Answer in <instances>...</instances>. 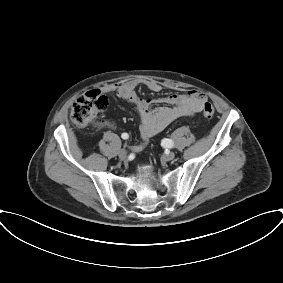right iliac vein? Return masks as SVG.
<instances>
[{
    "mask_svg": "<svg viewBox=\"0 0 283 283\" xmlns=\"http://www.w3.org/2000/svg\"><path fill=\"white\" fill-rule=\"evenodd\" d=\"M118 155L120 159H125L127 157V151L125 149H121Z\"/></svg>",
    "mask_w": 283,
    "mask_h": 283,
    "instance_id": "obj_1",
    "label": "right iliac vein"
}]
</instances>
